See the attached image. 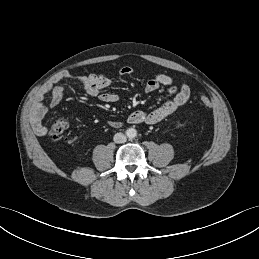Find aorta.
<instances>
[{"label":"aorta","mask_w":259,"mask_h":259,"mask_svg":"<svg viewBox=\"0 0 259 259\" xmlns=\"http://www.w3.org/2000/svg\"><path fill=\"white\" fill-rule=\"evenodd\" d=\"M126 136L129 138V139H133L137 136V131L136 129L134 128H128L126 130Z\"/></svg>","instance_id":"1"}]
</instances>
